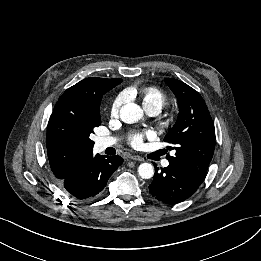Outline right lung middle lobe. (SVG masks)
Wrapping results in <instances>:
<instances>
[{"label": "right lung middle lobe", "mask_w": 261, "mask_h": 261, "mask_svg": "<svg viewBox=\"0 0 261 261\" xmlns=\"http://www.w3.org/2000/svg\"><path fill=\"white\" fill-rule=\"evenodd\" d=\"M100 124L99 108H83L77 114L64 110L55 111L48 124L46 142L93 149L94 142L90 139V134Z\"/></svg>", "instance_id": "1"}]
</instances>
